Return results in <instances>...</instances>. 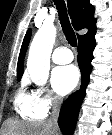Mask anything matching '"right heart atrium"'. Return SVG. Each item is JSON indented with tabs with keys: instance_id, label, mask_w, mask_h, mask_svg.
I'll return each instance as SVG.
<instances>
[{
	"instance_id": "right-heart-atrium-1",
	"label": "right heart atrium",
	"mask_w": 112,
	"mask_h": 135,
	"mask_svg": "<svg viewBox=\"0 0 112 135\" xmlns=\"http://www.w3.org/2000/svg\"><path fill=\"white\" fill-rule=\"evenodd\" d=\"M33 94L37 106L46 113L58 105V98L48 88H36Z\"/></svg>"
}]
</instances>
